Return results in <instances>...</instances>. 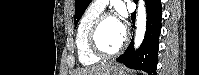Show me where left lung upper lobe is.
I'll use <instances>...</instances> for the list:
<instances>
[{
    "label": "left lung upper lobe",
    "instance_id": "obj_1",
    "mask_svg": "<svg viewBox=\"0 0 199 75\" xmlns=\"http://www.w3.org/2000/svg\"><path fill=\"white\" fill-rule=\"evenodd\" d=\"M91 1L92 0H75V26L77 25L78 21L82 17L83 13L85 12L86 8L88 7Z\"/></svg>",
    "mask_w": 199,
    "mask_h": 75
}]
</instances>
